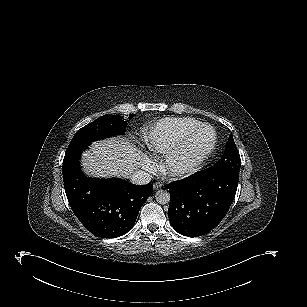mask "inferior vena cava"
Here are the masks:
<instances>
[{
	"mask_svg": "<svg viewBox=\"0 0 307 307\" xmlns=\"http://www.w3.org/2000/svg\"><path fill=\"white\" fill-rule=\"evenodd\" d=\"M151 179L152 176L148 172L142 170H137L133 172V174L130 177L131 183L136 185L148 184L151 181Z\"/></svg>",
	"mask_w": 307,
	"mask_h": 307,
	"instance_id": "inferior-vena-cava-1",
	"label": "inferior vena cava"
}]
</instances>
